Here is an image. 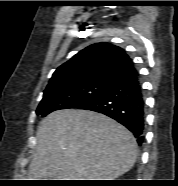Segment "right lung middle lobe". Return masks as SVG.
<instances>
[{
	"label": "right lung middle lobe",
	"mask_w": 178,
	"mask_h": 186,
	"mask_svg": "<svg viewBox=\"0 0 178 186\" xmlns=\"http://www.w3.org/2000/svg\"><path fill=\"white\" fill-rule=\"evenodd\" d=\"M109 84L89 83L75 87L44 92L36 114L43 117L49 113L69 108H78L104 91Z\"/></svg>",
	"instance_id": "obj_1"
}]
</instances>
